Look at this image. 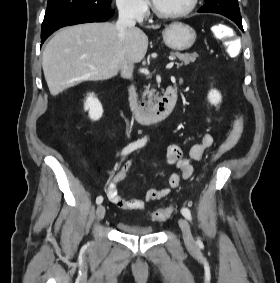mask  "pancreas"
<instances>
[{
    "instance_id": "1",
    "label": "pancreas",
    "mask_w": 280,
    "mask_h": 283,
    "mask_svg": "<svg viewBox=\"0 0 280 283\" xmlns=\"http://www.w3.org/2000/svg\"><path fill=\"white\" fill-rule=\"evenodd\" d=\"M170 56L173 58H178L181 63H177V66L180 67L182 65H188L196 61L198 54L194 53H180V52H171ZM147 97L146 104L148 106H152L154 102H156L159 97L158 93H156L155 89H150V85L145 87V91L143 92V98Z\"/></svg>"
}]
</instances>
